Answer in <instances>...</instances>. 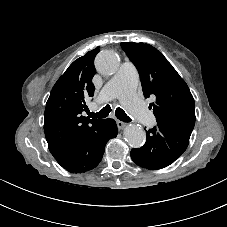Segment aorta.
Returning a JSON list of instances; mask_svg holds the SVG:
<instances>
[{
  "label": "aorta",
  "instance_id": "1",
  "mask_svg": "<svg viewBox=\"0 0 227 227\" xmlns=\"http://www.w3.org/2000/svg\"><path fill=\"white\" fill-rule=\"evenodd\" d=\"M95 66L99 73L113 75L119 69L120 58L115 52L104 50L96 56ZM124 138L131 147L139 148L145 142L146 133L142 127L130 124L124 129Z\"/></svg>",
  "mask_w": 227,
  "mask_h": 227
}]
</instances>
